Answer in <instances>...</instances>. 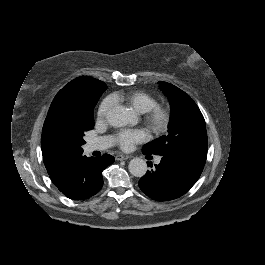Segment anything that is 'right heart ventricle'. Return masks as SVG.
<instances>
[{"instance_id":"right-heart-ventricle-1","label":"right heart ventricle","mask_w":265,"mask_h":265,"mask_svg":"<svg viewBox=\"0 0 265 265\" xmlns=\"http://www.w3.org/2000/svg\"><path fill=\"white\" fill-rule=\"evenodd\" d=\"M115 104L124 105L135 113L145 114L157 103L149 93L137 89H119L111 94Z\"/></svg>"}]
</instances>
